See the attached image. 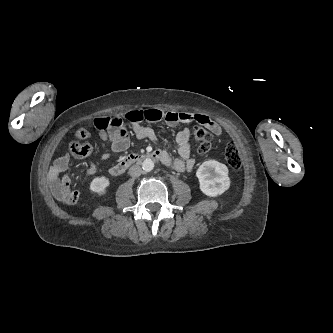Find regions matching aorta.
Returning a JSON list of instances; mask_svg holds the SVG:
<instances>
[{"mask_svg": "<svg viewBox=\"0 0 333 333\" xmlns=\"http://www.w3.org/2000/svg\"><path fill=\"white\" fill-rule=\"evenodd\" d=\"M142 168L145 172H150L154 169V162L147 158L142 162Z\"/></svg>", "mask_w": 333, "mask_h": 333, "instance_id": "1", "label": "aorta"}]
</instances>
